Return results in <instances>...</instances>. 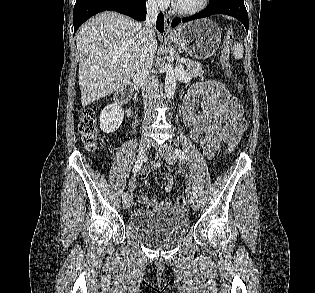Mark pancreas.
<instances>
[{"instance_id":"cf45deb5","label":"pancreas","mask_w":315,"mask_h":293,"mask_svg":"<svg viewBox=\"0 0 315 293\" xmlns=\"http://www.w3.org/2000/svg\"><path fill=\"white\" fill-rule=\"evenodd\" d=\"M185 70L187 75L191 78L202 76L204 74V70L202 69L200 63L190 59H186Z\"/></svg>"}]
</instances>
